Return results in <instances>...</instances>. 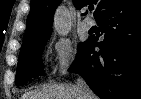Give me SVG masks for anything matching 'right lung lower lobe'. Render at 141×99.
<instances>
[{"mask_svg":"<svg viewBox=\"0 0 141 99\" xmlns=\"http://www.w3.org/2000/svg\"><path fill=\"white\" fill-rule=\"evenodd\" d=\"M97 23L105 39L90 37L69 70L102 99H141V0H112Z\"/></svg>","mask_w":141,"mask_h":99,"instance_id":"obj_1","label":"right lung lower lobe"}]
</instances>
